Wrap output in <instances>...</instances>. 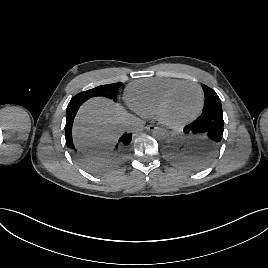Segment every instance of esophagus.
Segmentation results:
<instances>
[{
    "mask_svg": "<svg viewBox=\"0 0 268 268\" xmlns=\"http://www.w3.org/2000/svg\"><path fill=\"white\" fill-rule=\"evenodd\" d=\"M145 129L147 131H155V130H159V127L155 126V125H148L145 127Z\"/></svg>",
    "mask_w": 268,
    "mask_h": 268,
    "instance_id": "obj_1",
    "label": "esophagus"
}]
</instances>
